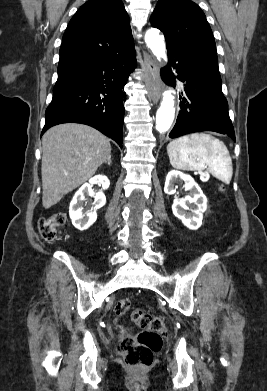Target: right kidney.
I'll return each instance as SVG.
<instances>
[{
	"label": "right kidney",
	"instance_id": "obj_1",
	"mask_svg": "<svg viewBox=\"0 0 267 391\" xmlns=\"http://www.w3.org/2000/svg\"><path fill=\"white\" fill-rule=\"evenodd\" d=\"M98 184L103 190H106L110 186V181L106 176L97 175L89 180V183H85L75 193L69 207V214L72 220V224L79 230H87L97 219V209L102 208L106 203V197L102 191L94 193L92 185ZM94 196L95 200L93 207L88 213L83 214V202L86 196Z\"/></svg>",
	"mask_w": 267,
	"mask_h": 391
}]
</instances>
